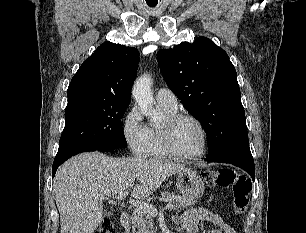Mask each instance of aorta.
Listing matches in <instances>:
<instances>
[{
	"instance_id": "aorta-1",
	"label": "aorta",
	"mask_w": 306,
	"mask_h": 233,
	"mask_svg": "<svg viewBox=\"0 0 306 233\" xmlns=\"http://www.w3.org/2000/svg\"><path fill=\"white\" fill-rule=\"evenodd\" d=\"M152 79L150 75L144 74L139 77L132 88V95L140 107L141 112L150 118L151 123L157 124L161 121V114L153 109L154 98L151 92Z\"/></svg>"
}]
</instances>
